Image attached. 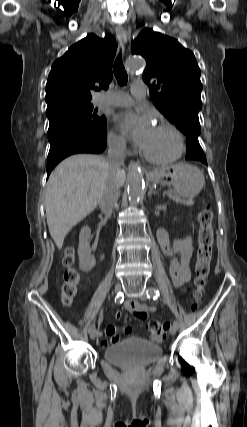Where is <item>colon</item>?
<instances>
[{
  "instance_id": "5ec220e1",
  "label": "colon",
  "mask_w": 247,
  "mask_h": 427,
  "mask_svg": "<svg viewBox=\"0 0 247 427\" xmlns=\"http://www.w3.org/2000/svg\"><path fill=\"white\" fill-rule=\"evenodd\" d=\"M198 250L195 263L194 290L192 293V308L196 309L203 298L210 264L213 254L214 231L212 226L213 213L209 207H203L198 213ZM63 264L65 267L61 297L65 305H70L78 293L81 276L75 268V252L69 247L66 249ZM151 335L160 338L166 333V324L152 320L148 324Z\"/></svg>"
}]
</instances>
